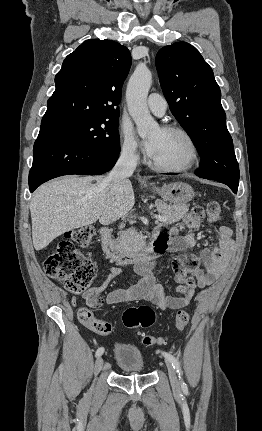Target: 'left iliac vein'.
<instances>
[{"label":"left iliac vein","mask_w":262,"mask_h":431,"mask_svg":"<svg viewBox=\"0 0 262 431\" xmlns=\"http://www.w3.org/2000/svg\"><path fill=\"white\" fill-rule=\"evenodd\" d=\"M166 365H167L169 379H170L172 387L174 389H179V380H178V377H177V374H176L174 368L172 367L171 363L168 361L166 362Z\"/></svg>","instance_id":"left-iliac-vein-1"}]
</instances>
